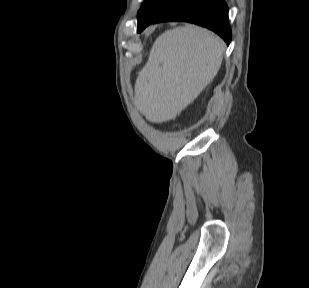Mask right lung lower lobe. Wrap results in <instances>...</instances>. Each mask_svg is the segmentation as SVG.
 <instances>
[{
  "instance_id": "98d812e1",
  "label": "right lung lower lobe",
  "mask_w": 309,
  "mask_h": 288,
  "mask_svg": "<svg viewBox=\"0 0 309 288\" xmlns=\"http://www.w3.org/2000/svg\"><path fill=\"white\" fill-rule=\"evenodd\" d=\"M164 21L198 24L216 32L228 45L231 41L228 7L224 0H180L176 5L159 14L152 23Z\"/></svg>"
}]
</instances>
